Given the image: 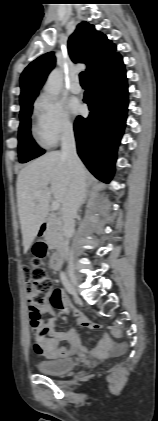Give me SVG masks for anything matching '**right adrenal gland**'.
Returning <instances> with one entry per match:
<instances>
[{"label":"right adrenal gland","instance_id":"1","mask_svg":"<svg viewBox=\"0 0 158 421\" xmlns=\"http://www.w3.org/2000/svg\"><path fill=\"white\" fill-rule=\"evenodd\" d=\"M88 193H89V191L87 190V191H86V193H85V197H84V200H83V204L86 202V198H87V196H88Z\"/></svg>","mask_w":158,"mask_h":421}]
</instances>
